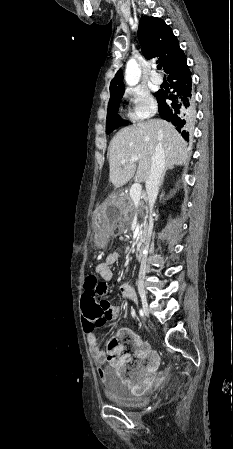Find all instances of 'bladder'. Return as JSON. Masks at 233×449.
Listing matches in <instances>:
<instances>
[{"label":"bladder","mask_w":233,"mask_h":449,"mask_svg":"<svg viewBox=\"0 0 233 449\" xmlns=\"http://www.w3.org/2000/svg\"><path fill=\"white\" fill-rule=\"evenodd\" d=\"M105 395L120 408L132 409L146 404V400L137 397L128 387L113 380H110L106 385Z\"/></svg>","instance_id":"1"}]
</instances>
